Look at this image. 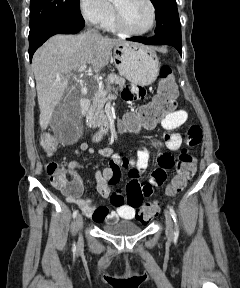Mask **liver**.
I'll list each match as a JSON object with an SVG mask.
<instances>
[{
    "instance_id": "liver-1",
    "label": "liver",
    "mask_w": 240,
    "mask_h": 288,
    "mask_svg": "<svg viewBox=\"0 0 240 288\" xmlns=\"http://www.w3.org/2000/svg\"><path fill=\"white\" fill-rule=\"evenodd\" d=\"M130 43L123 39L95 36L91 32L78 35H55L48 39L34 54V71L40 127L47 129L55 107L68 87L73 70L84 64L100 71L110 59L113 47ZM60 78V81H56Z\"/></svg>"
}]
</instances>
